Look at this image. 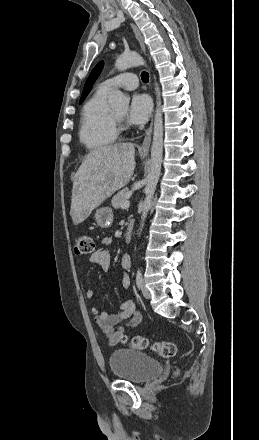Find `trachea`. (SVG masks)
I'll return each instance as SVG.
<instances>
[{
    "instance_id": "3493384b",
    "label": "trachea",
    "mask_w": 259,
    "mask_h": 440,
    "mask_svg": "<svg viewBox=\"0 0 259 440\" xmlns=\"http://www.w3.org/2000/svg\"><path fill=\"white\" fill-rule=\"evenodd\" d=\"M141 79L143 82L147 83L149 81V74L145 71L141 73Z\"/></svg>"
}]
</instances>
